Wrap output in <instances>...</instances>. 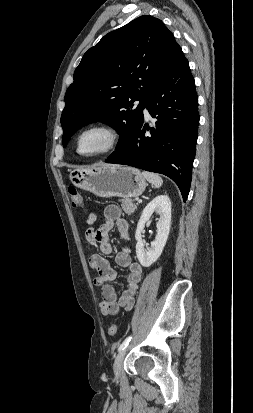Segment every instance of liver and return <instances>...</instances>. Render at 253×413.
I'll return each instance as SVG.
<instances>
[{
	"mask_svg": "<svg viewBox=\"0 0 253 413\" xmlns=\"http://www.w3.org/2000/svg\"><path fill=\"white\" fill-rule=\"evenodd\" d=\"M102 166L107 167V166H113V165H110V164H103Z\"/></svg>",
	"mask_w": 253,
	"mask_h": 413,
	"instance_id": "liver-1",
	"label": "liver"
}]
</instances>
